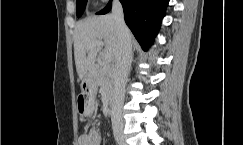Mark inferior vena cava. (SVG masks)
Segmentation results:
<instances>
[{
	"label": "inferior vena cava",
	"mask_w": 243,
	"mask_h": 145,
	"mask_svg": "<svg viewBox=\"0 0 243 145\" xmlns=\"http://www.w3.org/2000/svg\"><path fill=\"white\" fill-rule=\"evenodd\" d=\"M112 15L116 22L119 48L116 57L112 114L121 120L125 87L132 62L131 34L124 21L123 8L118 0L113 2Z\"/></svg>",
	"instance_id": "602c4592"
}]
</instances>
